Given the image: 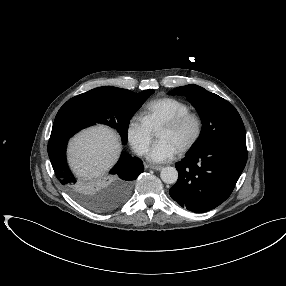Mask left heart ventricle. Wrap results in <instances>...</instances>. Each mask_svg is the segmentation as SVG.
<instances>
[{"mask_svg": "<svg viewBox=\"0 0 286 286\" xmlns=\"http://www.w3.org/2000/svg\"><path fill=\"white\" fill-rule=\"evenodd\" d=\"M195 133V124L192 121L177 128L160 129L157 133L159 140L170 141L178 150L186 145Z\"/></svg>", "mask_w": 286, "mask_h": 286, "instance_id": "1", "label": "left heart ventricle"}]
</instances>
